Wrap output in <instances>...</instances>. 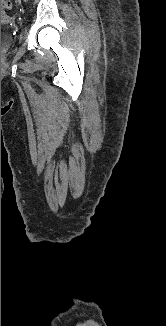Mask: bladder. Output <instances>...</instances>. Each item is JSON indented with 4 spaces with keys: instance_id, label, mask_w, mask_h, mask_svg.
Returning <instances> with one entry per match:
<instances>
[{
    "instance_id": "1",
    "label": "bladder",
    "mask_w": 166,
    "mask_h": 326,
    "mask_svg": "<svg viewBox=\"0 0 166 326\" xmlns=\"http://www.w3.org/2000/svg\"><path fill=\"white\" fill-rule=\"evenodd\" d=\"M1 14H4V11L1 9Z\"/></svg>"
}]
</instances>
